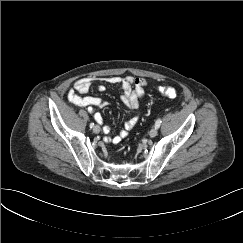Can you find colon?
<instances>
[{"label": "colon", "mask_w": 243, "mask_h": 243, "mask_svg": "<svg viewBox=\"0 0 243 243\" xmlns=\"http://www.w3.org/2000/svg\"><path fill=\"white\" fill-rule=\"evenodd\" d=\"M159 92L169 98H174L177 95L176 90L171 86H161L159 87Z\"/></svg>", "instance_id": "obj_1"}]
</instances>
